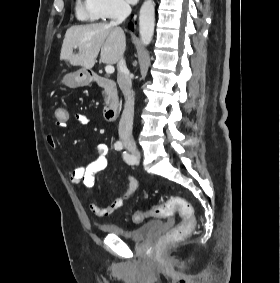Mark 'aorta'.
<instances>
[{
	"label": "aorta",
	"instance_id": "762f6f07",
	"mask_svg": "<svg viewBox=\"0 0 280 283\" xmlns=\"http://www.w3.org/2000/svg\"><path fill=\"white\" fill-rule=\"evenodd\" d=\"M155 27V3L153 0H146L141 6L139 13V34L143 45L150 44Z\"/></svg>",
	"mask_w": 280,
	"mask_h": 283
}]
</instances>
